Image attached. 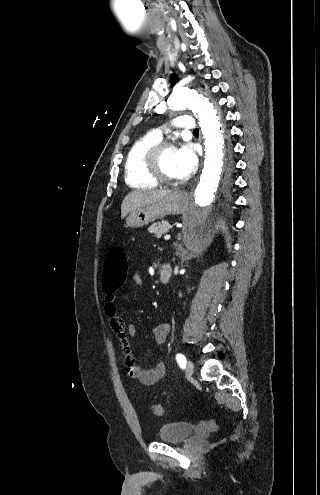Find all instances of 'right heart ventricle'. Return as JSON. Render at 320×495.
I'll list each match as a JSON object with an SVG mask.
<instances>
[{"label":"right heart ventricle","mask_w":320,"mask_h":495,"mask_svg":"<svg viewBox=\"0 0 320 495\" xmlns=\"http://www.w3.org/2000/svg\"><path fill=\"white\" fill-rule=\"evenodd\" d=\"M153 134L136 140L127 152L124 163L125 182L132 188H155L158 182L147 172L144 164V156L147 150L158 143Z\"/></svg>","instance_id":"right-heart-ventricle-1"}]
</instances>
